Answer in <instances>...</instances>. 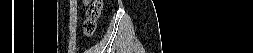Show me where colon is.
<instances>
[{"label":"colon","mask_w":253,"mask_h":53,"mask_svg":"<svg viewBox=\"0 0 253 53\" xmlns=\"http://www.w3.org/2000/svg\"><path fill=\"white\" fill-rule=\"evenodd\" d=\"M103 1L93 0L86 11V19L83 22L82 30L85 36L90 37L94 34L96 23L100 17Z\"/></svg>","instance_id":"obj_1"}]
</instances>
